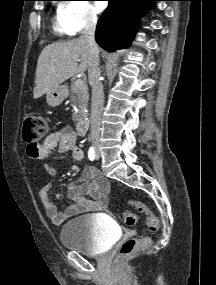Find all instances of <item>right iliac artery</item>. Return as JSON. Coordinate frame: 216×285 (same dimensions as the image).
<instances>
[{
    "mask_svg": "<svg viewBox=\"0 0 216 285\" xmlns=\"http://www.w3.org/2000/svg\"><path fill=\"white\" fill-rule=\"evenodd\" d=\"M88 158L93 161L95 159V151H94V147H90L89 151H88Z\"/></svg>",
    "mask_w": 216,
    "mask_h": 285,
    "instance_id": "82829eb1",
    "label": "right iliac artery"
}]
</instances>
